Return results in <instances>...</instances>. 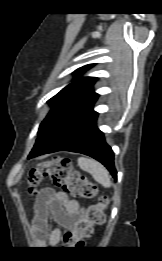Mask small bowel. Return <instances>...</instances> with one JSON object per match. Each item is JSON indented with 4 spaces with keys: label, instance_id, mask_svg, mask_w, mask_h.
Segmentation results:
<instances>
[{
    "label": "small bowel",
    "instance_id": "obj_1",
    "mask_svg": "<svg viewBox=\"0 0 162 261\" xmlns=\"http://www.w3.org/2000/svg\"><path fill=\"white\" fill-rule=\"evenodd\" d=\"M35 207L34 230L38 234L46 228L51 217L58 225L67 229L71 235L76 220L81 214L78 201L71 199L64 191H55L51 188H44L39 192ZM60 241L61 231L56 228L48 236V245L57 246Z\"/></svg>",
    "mask_w": 162,
    "mask_h": 261
}]
</instances>
